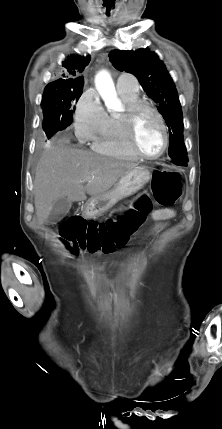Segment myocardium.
I'll return each instance as SVG.
<instances>
[{
  "mask_svg": "<svg viewBox=\"0 0 222 429\" xmlns=\"http://www.w3.org/2000/svg\"><path fill=\"white\" fill-rule=\"evenodd\" d=\"M143 111L151 112L156 117L162 130L163 147L154 155H148L142 152L136 141V124L139 115ZM121 119L123 122L127 145L137 157L145 160H156L165 154L169 146V133L164 118L153 105L143 100L125 104L124 110L121 113Z\"/></svg>",
  "mask_w": 222,
  "mask_h": 429,
  "instance_id": "myocardium-1",
  "label": "myocardium"
}]
</instances>
